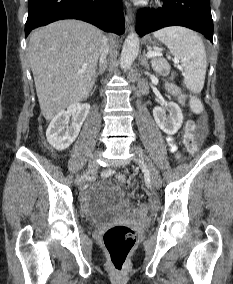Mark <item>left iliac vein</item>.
<instances>
[{
    "label": "left iliac vein",
    "mask_w": 233,
    "mask_h": 284,
    "mask_svg": "<svg viewBox=\"0 0 233 284\" xmlns=\"http://www.w3.org/2000/svg\"><path fill=\"white\" fill-rule=\"evenodd\" d=\"M131 151L136 154V160L148 170L152 186L155 189H159L161 187L162 180L158 169L151 162V160L145 155L142 149L138 147H132Z\"/></svg>",
    "instance_id": "4c4485c4"
}]
</instances>
